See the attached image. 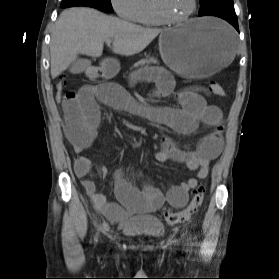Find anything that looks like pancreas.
Instances as JSON below:
<instances>
[{
	"label": "pancreas",
	"mask_w": 279,
	"mask_h": 279,
	"mask_svg": "<svg viewBox=\"0 0 279 279\" xmlns=\"http://www.w3.org/2000/svg\"><path fill=\"white\" fill-rule=\"evenodd\" d=\"M150 63H154L155 64V63H158V62H157V59H155V58L143 59V60L139 61L138 63H136L134 65V67L148 65Z\"/></svg>",
	"instance_id": "pancreas-1"
}]
</instances>
